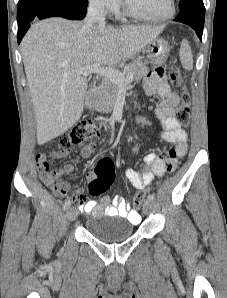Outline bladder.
Wrapping results in <instances>:
<instances>
[{
  "label": "bladder",
  "mask_w": 227,
  "mask_h": 298,
  "mask_svg": "<svg viewBox=\"0 0 227 298\" xmlns=\"http://www.w3.org/2000/svg\"><path fill=\"white\" fill-rule=\"evenodd\" d=\"M85 227L89 234L104 243L124 241L133 235L135 229L127 219L107 220L103 216L88 219Z\"/></svg>",
  "instance_id": "bladder-1"
}]
</instances>
